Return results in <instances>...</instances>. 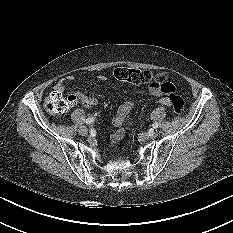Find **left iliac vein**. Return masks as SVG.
Returning a JSON list of instances; mask_svg holds the SVG:
<instances>
[{
	"label": "left iliac vein",
	"instance_id": "1",
	"mask_svg": "<svg viewBox=\"0 0 233 233\" xmlns=\"http://www.w3.org/2000/svg\"><path fill=\"white\" fill-rule=\"evenodd\" d=\"M157 133L154 130H150L147 134L144 135V137L149 138V139H154L156 138Z\"/></svg>",
	"mask_w": 233,
	"mask_h": 233
}]
</instances>
